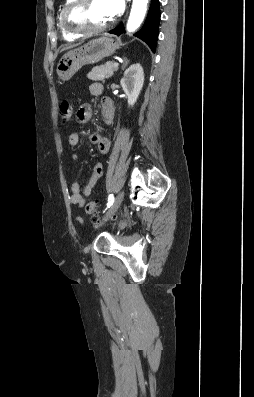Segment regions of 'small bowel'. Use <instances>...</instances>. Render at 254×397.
<instances>
[{
  "label": "small bowel",
  "mask_w": 254,
  "mask_h": 397,
  "mask_svg": "<svg viewBox=\"0 0 254 397\" xmlns=\"http://www.w3.org/2000/svg\"><path fill=\"white\" fill-rule=\"evenodd\" d=\"M90 92L94 96H101L103 93V85L99 82H94L89 87ZM102 117L106 125H110L114 118V105L110 98L103 97L101 101ZM92 117V107L90 104H82L77 111V122L79 124H86ZM69 144L71 146H78L81 142V137L78 133L73 132L69 135ZM90 141L97 145L98 151L102 155H106L110 149V140L100 133H93L90 136ZM77 159V155H73V160ZM103 174V166L100 162H96L89 180L85 187L81 189L79 183L73 182L71 185L70 202L78 207H82L87 198L91 195L93 189L98 184ZM80 223H83L81 218H77Z\"/></svg>",
  "instance_id": "c3829d8e"
}]
</instances>
